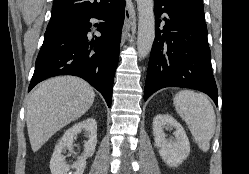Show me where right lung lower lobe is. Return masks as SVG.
Wrapping results in <instances>:
<instances>
[{
  "label": "right lung lower lobe",
  "mask_w": 249,
  "mask_h": 174,
  "mask_svg": "<svg viewBox=\"0 0 249 174\" xmlns=\"http://www.w3.org/2000/svg\"><path fill=\"white\" fill-rule=\"evenodd\" d=\"M124 12L125 0H114L100 12L73 17L48 28L28 91L49 77L75 75L96 88L110 107ZM91 18L102 20L98 27L101 36L89 42Z\"/></svg>",
  "instance_id": "right-lung-lower-lobe-1"
}]
</instances>
